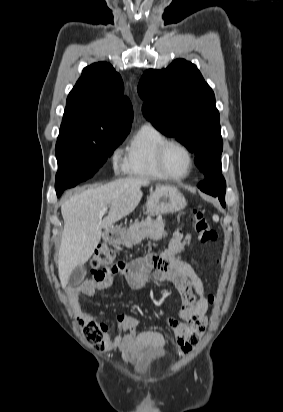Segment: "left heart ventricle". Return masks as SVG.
Returning a JSON list of instances; mask_svg holds the SVG:
<instances>
[{
  "instance_id": "obj_1",
  "label": "left heart ventricle",
  "mask_w": 283,
  "mask_h": 412,
  "mask_svg": "<svg viewBox=\"0 0 283 412\" xmlns=\"http://www.w3.org/2000/svg\"><path fill=\"white\" fill-rule=\"evenodd\" d=\"M165 165L172 174L182 175L189 167L188 156L182 148L177 146L170 147L166 153Z\"/></svg>"
}]
</instances>
